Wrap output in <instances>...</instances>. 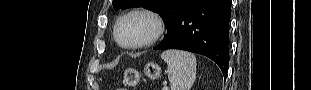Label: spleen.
<instances>
[{"mask_svg":"<svg viewBox=\"0 0 311 90\" xmlns=\"http://www.w3.org/2000/svg\"><path fill=\"white\" fill-rule=\"evenodd\" d=\"M161 58L167 63L171 90H190L196 79V57L182 50H166Z\"/></svg>","mask_w":311,"mask_h":90,"instance_id":"1","label":"spleen"}]
</instances>
